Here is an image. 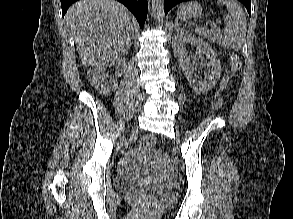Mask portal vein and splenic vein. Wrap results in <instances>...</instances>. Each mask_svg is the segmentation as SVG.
Listing matches in <instances>:
<instances>
[{
  "label": "portal vein and splenic vein",
  "mask_w": 293,
  "mask_h": 219,
  "mask_svg": "<svg viewBox=\"0 0 293 219\" xmlns=\"http://www.w3.org/2000/svg\"><path fill=\"white\" fill-rule=\"evenodd\" d=\"M211 27H212V28H216V23H212V24H211Z\"/></svg>",
  "instance_id": "18ae733b"
}]
</instances>
